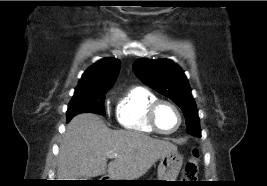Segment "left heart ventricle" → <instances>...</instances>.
<instances>
[{"instance_id":"obj_1","label":"left heart ventricle","mask_w":267,"mask_h":186,"mask_svg":"<svg viewBox=\"0 0 267 186\" xmlns=\"http://www.w3.org/2000/svg\"><path fill=\"white\" fill-rule=\"evenodd\" d=\"M156 121L163 131H171L178 124V115L176 111L167 104H162L156 112Z\"/></svg>"}]
</instances>
